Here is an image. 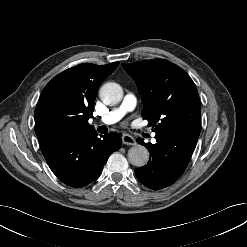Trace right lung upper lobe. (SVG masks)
<instances>
[{"mask_svg":"<svg viewBox=\"0 0 247 247\" xmlns=\"http://www.w3.org/2000/svg\"><path fill=\"white\" fill-rule=\"evenodd\" d=\"M118 64L83 63L61 72L45 86L35 109V133L41 147L60 128L95 131L88 119L93 117L99 85Z\"/></svg>","mask_w":247,"mask_h":247,"instance_id":"cb5924a9","label":"right lung upper lobe"}]
</instances>
